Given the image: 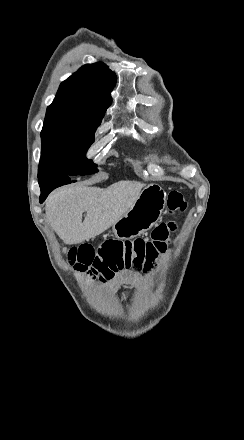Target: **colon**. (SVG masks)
Listing matches in <instances>:
<instances>
[{"mask_svg": "<svg viewBox=\"0 0 244 440\" xmlns=\"http://www.w3.org/2000/svg\"><path fill=\"white\" fill-rule=\"evenodd\" d=\"M186 208L187 202L183 193L179 190L170 191L167 196L168 214L183 213ZM175 229V223H162L153 229L148 240H109L102 243L96 251L92 247L71 248L69 269L90 271L103 280L113 278L119 271L150 270L156 257L165 250V241L170 232ZM76 259L78 262H75Z\"/></svg>", "mask_w": 244, "mask_h": 440, "instance_id": "5ec220e1", "label": "colon"}]
</instances>
